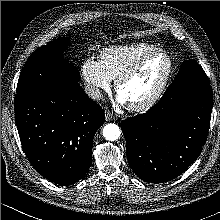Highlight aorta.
<instances>
[{
	"label": "aorta",
	"instance_id": "762f6f07",
	"mask_svg": "<svg viewBox=\"0 0 220 220\" xmlns=\"http://www.w3.org/2000/svg\"><path fill=\"white\" fill-rule=\"evenodd\" d=\"M121 135L119 127L114 123L106 124L103 128V136L109 141L117 140Z\"/></svg>",
	"mask_w": 220,
	"mask_h": 220
}]
</instances>
